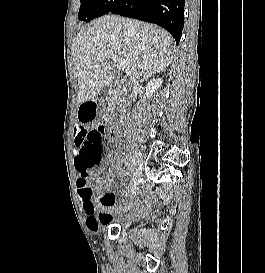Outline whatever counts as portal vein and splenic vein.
I'll use <instances>...</instances> for the list:
<instances>
[{
	"label": "portal vein and splenic vein",
	"instance_id": "18ae733b",
	"mask_svg": "<svg viewBox=\"0 0 265 273\" xmlns=\"http://www.w3.org/2000/svg\"><path fill=\"white\" fill-rule=\"evenodd\" d=\"M107 55H100L99 56V58L100 59H103L104 57H106ZM109 58H111L112 59V61L116 64V66H117V68L119 69V70H124V69H126V67H127V62L124 60V59H122V58H118V57H115L114 55H109L108 56Z\"/></svg>",
	"mask_w": 265,
	"mask_h": 273
}]
</instances>
